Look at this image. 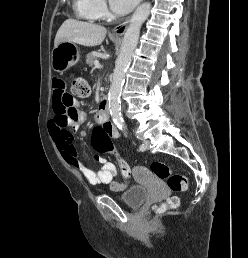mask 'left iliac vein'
<instances>
[{
    "mask_svg": "<svg viewBox=\"0 0 248 258\" xmlns=\"http://www.w3.org/2000/svg\"><path fill=\"white\" fill-rule=\"evenodd\" d=\"M143 145H144V150H147L149 148V141L148 140H144L143 141Z\"/></svg>",
    "mask_w": 248,
    "mask_h": 258,
    "instance_id": "1",
    "label": "left iliac vein"
}]
</instances>
